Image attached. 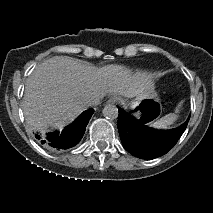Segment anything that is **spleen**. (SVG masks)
<instances>
[{
    "label": "spleen",
    "instance_id": "obj_1",
    "mask_svg": "<svg viewBox=\"0 0 213 213\" xmlns=\"http://www.w3.org/2000/svg\"><path fill=\"white\" fill-rule=\"evenodd\" d=\"M175 113H169L159 118L154 122V125L158 128H167L170 127L176 120L178 115Z\"/></svg>",
    "mask_w": 213,
    "mask_h": 213
}]
</instances>
